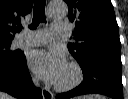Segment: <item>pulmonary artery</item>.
Returning a JSON list of instances; mask_svg holds the SVG:
<instances>
[{
    "mask_svg": "<svg viewBox=\"0 0 128 99\" xmlns=\"http://www.w3.org/2000/svg\"><path fill=\"white\" fill-rule=\"evenodd\" d=\"M66 28V22H54L50 29H41L31 33H23L15 40L14 45L16 47L43 45L50 41L54 35L65 32Z\"/></svg>",
    "mask_w": 128,
    "mask_h": 99,
    "instance_id": "obj_1",
    "label": "pulmonary artery"
}]
</instances>
